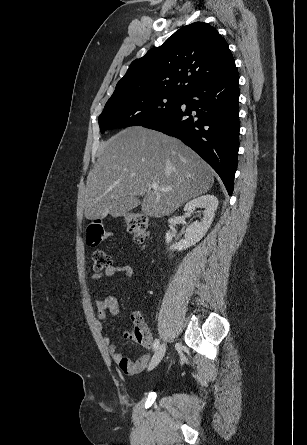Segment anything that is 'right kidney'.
I'll return each mask as SVG.
<instances>
[{
  "instance_id": "1",
  "label": "right kidney",
  "mask_w": 307,
  "mask_h": 445,
  "mask_svg": "<svg viewBox=\"0 0 307 445\" xmlns=\"http://www.w3.org/2000/svg\"><path fill=\"white\" fill-rule=\"evenodd\" d=\"M217 206L218 198L214 196V194H204V196H198V198L189 200V202L185 204L184 210H188V212L190 210L191 212L192 208H205L203 218L201 223L189 225L188 229H186L185 239H182L179 243H175V245H171L170 249H172V251H185L188 247H193L198 241H201L204 235H206L210 225H212ZM172 237H176L175 231H167L165 237L166 243H170Z\"/></svg>"
}]
</instances>
